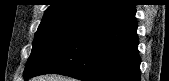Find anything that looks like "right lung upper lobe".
I'll return each instance as SVG.
<instances>
[{
	"instance_id": "right-lung-upper-lobe-1",
	"label": "right lung upper lobe",
	"mask_w": 169,
	"mask_h": 81,
	"mask_svg": "<svg viewBox=\"0 0 169 81\" xmlns=\"http://www.w3.org/2000/svg\"><path fill=\"white\" fill-rule=\"evenodd\" d=\"M125 2L126 0H52L43 19L75 16L89 21Z\"/></svg>"
}]
</instances>
